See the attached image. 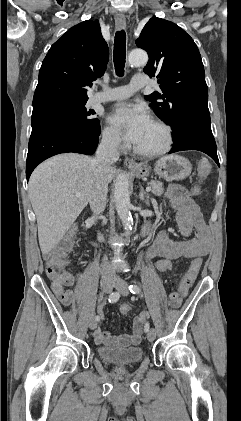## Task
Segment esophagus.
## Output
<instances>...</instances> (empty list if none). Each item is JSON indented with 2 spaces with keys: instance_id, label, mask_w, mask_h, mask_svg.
I'll return each instance as SVG.
<instances>
[{
  "instance_id": "34e87169",
  "label": "esophagus",
  "mask_w": 241,
  "mask_h": 421,
  "mask_svg": "<svg viewBox=\"0 0 241 421\" xmlns=\"http://www.w3.org/2000/svg\"><path fill=\"white\" fill-rule=\"evenodd\" d=\"M115 26L117 30H122L126 28V20L124 17H116L115 18ZM125 165L130 169L138 168V164L131 158H125L124 160Z\"/></svg>"
}]
</instances>
